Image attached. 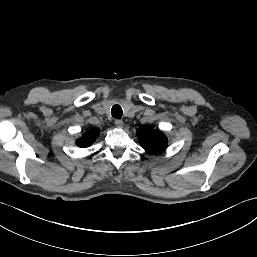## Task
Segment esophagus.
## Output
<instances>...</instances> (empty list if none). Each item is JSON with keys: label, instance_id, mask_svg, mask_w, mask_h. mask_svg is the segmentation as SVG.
I'll return each mask as SVG.
<instances>
[{"label": "esophagus", "instance_id": "1", "mask_svg": "<svg viewBox=\"0 0 257 257\" xmlns=\"http://www.w3.org/2000/svg\"><path fill=\"white\" fill-rule=\"evenodd\" d=\"M115 125H116L118 128H122V127H123V121L120 120V119H116V120H115Z\"/></svg>", "mask_w": 257, "mask_h": 257}]
</instances>
